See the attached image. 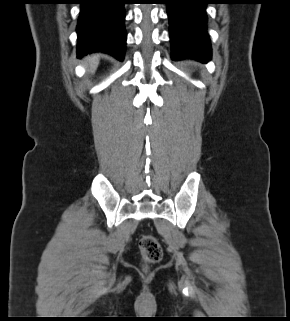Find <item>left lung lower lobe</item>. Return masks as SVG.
Here are the masks:
<instances>
[{
	"instance_id": "left-lung-lower-lobe-1",
	"label": "left lung lower lobe",
	"mask_w": 290,
	"mask_h": 321,
	"mask_svg": "<svg viewBox=\"0 0 290 321\" xmlns=\"http://www.w3.org/2000/svg\"><path fill=\"white\" fill-rule=\"evenodd\" d=\"M210 0H167L172 59L192 58L207 62L211 58L205 12Z\"/></svg>"
}]
</instances>
